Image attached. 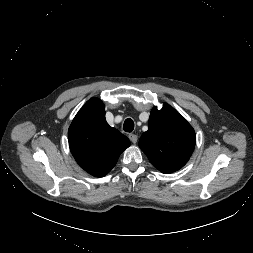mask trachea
<instances>
[{
	"instance_id": "trachea-1",
	"label": "trachea",
	"mask_w": 253,
	"mask_h": 253,
	"mask_svg": "<svg viewBox=\"0 0 253 253\" xmlns=\"http://www.w3.org/2000/svg\"><path fill=\"white\" fill-rule=\"evenodd\" d=\"M123 129L125 132H132L134 129V122L132 119L127 118L124 122Z\"/></svg>"
}]
</instances>
